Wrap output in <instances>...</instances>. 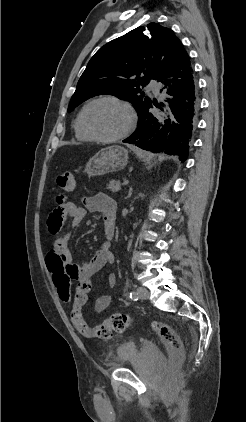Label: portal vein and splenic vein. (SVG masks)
Wrapping results in <instances>:
<instances>
[{"instance_id":"portal-vein-and-splenic-vein-1","label":"portal vein and splenic vein","mask_w":246,"mask_h":422,"mask_svg":"<svg viewBox=\"0 0 246 422\" xmlns=\"http://www.w3.org/2000/svg\"><path fill=\"white\" fill-rule=\"evenodd\" d=\"M129 183V180H125L124 182H123V184L122 185H127ZM118 188L116 187V190H117ZM118 191V190H117Z\"/></svg>"}]
</instances>
